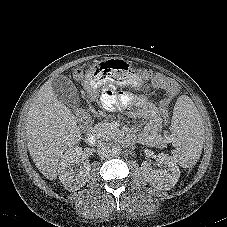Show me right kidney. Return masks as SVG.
I'll list each match as a JSON object with an SVG mask.
<instances>
[{
  "mask_svg": "<svg viewBox=\"0 0 227 227\" xmlns=\"http://www.w3.org/2000/svg\"><path fill=\"white\" fill-rule=\"evenodd\" d=\"M81 156V147H71L62 155L58 164L59 180L69 191L79 190L88 181L91 170L89 163L84 162L83 166L75 169V165L81 161Z\"/></svg>",
  "mask_w": 227,
  "mask_h": 227,
  "instance_id": "obj_1",
  "label": "right kidney"
}]
</instances>
